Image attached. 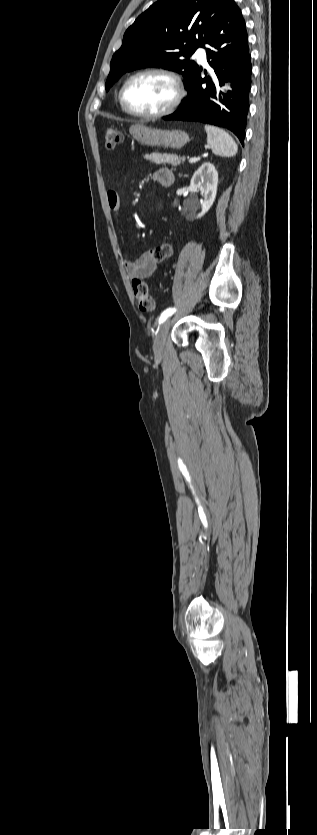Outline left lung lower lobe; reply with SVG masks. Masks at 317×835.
Returning a JSON list of instances; mask_svg holds the SVG:
<instances>
[{
    "mask_svg": "<svg viewBox=\"0 0 317 835\" xmlns=\"http://www.w3.org/2000/svg\"><path fill=\"white\" fill-rule=\"evenodd\" d=\"M206 43L210 45L207 60L216 76L202 78V67H198L185 86L188 94L180 108L163 119L199 121L224 127L244 145L252 65L245 21L234 0L229 1L218 27ZM227 81L232 82V91L223 95V106H220L213 101L218 92L216 87Z\"/></svg>",
    "mask_w": 317,
    "mask_h": 835,
    "instance_id": "1",
    "label": "left lung lower lobe"
}]
</instances>
